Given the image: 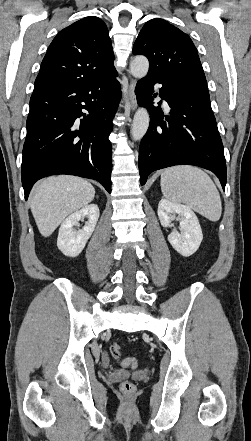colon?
<instances>
[{"label": "colon", "mask_w": 251, "mask_h": 441, "mask_svg": "<svg viewBox=\"0 0 251 441\" xmlns=\"http://www.w3.org/2000/svg\"><path fill=\"white\" fill-rule=\"evenodd\" d=\"M109 351L114 358L116 359L120 358L121 348L118 343L111 344L109 347ZM137 364H138L137 360L132 357H128L122 360L123 366L136 367ZM121 390L127 394L133 393L135 391V385L129 381H125L121 384Z\"/></svg>", "instance_id": "colon-1"}]
</instances>
